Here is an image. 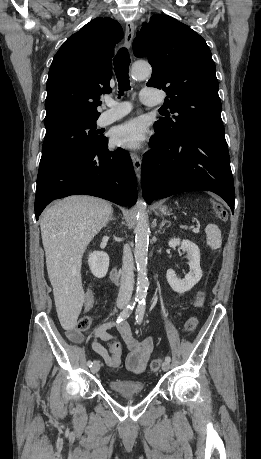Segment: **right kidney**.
<instances>
[{
	"label": "right kidney",
	"instance_id": "ca27d5eb",
	"mask_svg": "<svg viewBox=\"0 0 261 459\" xmlns=\"http://www.w3.org/2000/svg\"><path fill=\"white\" fill-rule=\"evenodd\" d=\"M88 265L95 277L103 278L108 272L109 256L103 251L92 252L88 257Z\"/></svg>",
	"mask_w": 261,
	"mask_h": 459
}]
</instances>
